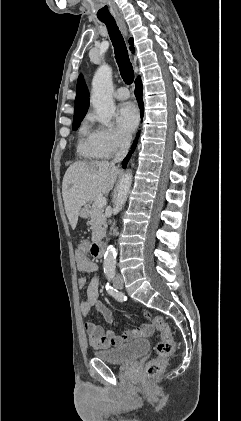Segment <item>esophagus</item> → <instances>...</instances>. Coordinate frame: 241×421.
Masks as SVG:
<instances>
[{
  "label": "esophagus",
  "mask_w": 241,
  "mask_h": 421,
  "mask_svg": "<svg viewBox=\"0 0 241 421\" xmlns=\"http://www.w3.org/2000/svg\"><path fill=\"white\" fill-rule=\"evenodd\" d=\"M116 21H117L121 31L123 32V34L126 36L127 35V28H126V25H125L123 19L121 17H117Z\"/></svg>",
  "instance_id": "1"
}]
</instances>
